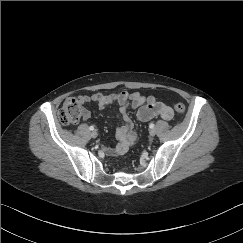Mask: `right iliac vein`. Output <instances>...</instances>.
Wrapping results in <instances>:
<instances>
[{
    "label": "right iliac vein",
    "mask_w": 243,
    "mask_h": 243,
    "mask_svg": "<svg viewBox=\"0 0 243 243\" xmlns=\"http://www.w3.org/2000/svg\"><path fill=\"white\" fill-rule=\"evenodd\" d=\"M97 135H98V134H97V132H96V131H92V132H91V137H92V138H96V137H97Z\"/></svg>",
    "instance_id": "right-iliac-vein-1"
}]
</instances>
